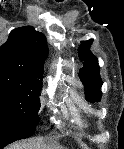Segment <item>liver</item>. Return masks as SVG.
I'll return each mask as SVG.
<instances>
[{"mask_svg": "<svg viewBox=\"0 0 124 149\" xmlns=\"http://www.w3.org/2000/svg\"><path fill=\"white\" fill-rule=\"evenodd\" d=\"M9 149H46L40 140H30L10 146Z\"/></svg>", "mask_w": 124, "mask_h": 149, "instance_id": "obj_1", "label": "liver"}]
</instances>
